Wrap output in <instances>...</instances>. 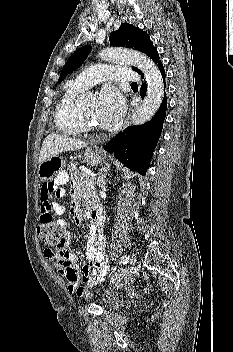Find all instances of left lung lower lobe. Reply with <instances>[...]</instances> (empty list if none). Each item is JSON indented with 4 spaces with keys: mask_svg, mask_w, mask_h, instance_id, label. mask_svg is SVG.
<instances>
[{
    "mask_svg": "<svg viewBox=\"0 0 233 352\" xmlns=\"http://www.w3.org/2000/svg\"><path fill=\"white\" fill-rule=\"evenodd\" d=\"M165 82V71L161 61L157 63ZM166 87V85H165ZM147 85L143 84L140 90L141 97L145 96ZM167 108L166 96L154 117L141 126H130L111 139L104 149L113 154L121 163L132 170L145 174L150 166L151 156L161 135L165 111Z\"/></svg>",
    "mask_w": 233,
    "mask_h": 352,
    "instance_id": "obj_1",
    "label": "left lung lower lobe"
}]
</instances>
